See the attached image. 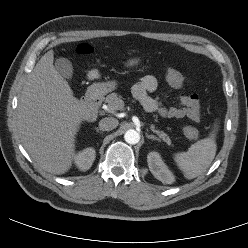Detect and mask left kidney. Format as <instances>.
Instances as JSON below:
<instances>
[{
  "mask_svg": "<svg viewBox=\"0 0 248 248\" xmlns=\"http://www.w3.org/2000/svg\"><path fill=\"white\" fill-rule=\"evenodd\" d=\"M147 162L149 170L156 179L165 184H172L175 181V176L163 162L159 153L150 152L147 155Z\"/></svg>",
  "mask_w": 248,
  "mask_h": 248,
  "instance_id": "obj_1",
  "label": "left kidney"
}]
</instances>
